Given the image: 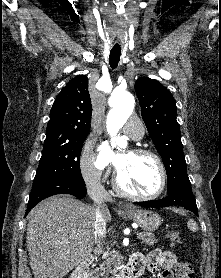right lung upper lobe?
<instances>
[{
  "label": "right lung upper lobe",
  "mask_w": 221,
  "mask_h": 278,
  "mask_svg": "<svg viewBox=\"0 0 221 278\" xmlns=\"http://www.w3.org/2000/svg\"><path fill=\"white\" fill-rule=\"evenodd\" d=\"M91 114L88 78L79 75L69 81L58 94L51 108L45 143L87 136Z\"/></svg>",
  "instance_id": "cb5924a9"
}]
</instances>
